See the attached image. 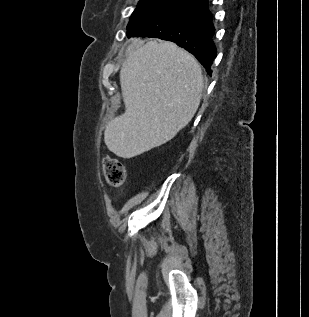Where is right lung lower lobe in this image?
Wrapping results in <instances>:
<instances>
[{
  "mask_svg": "<svg viewBox=\"0 0 309 317\" xmlns=\"http://www.w3.org/2000/svg\"><path fill=\"white\" fill-rule=\"evenodd\" d=\"M214 31L207 0H177L139 19L127 36L175 42L192 53L210 74L217 53Z\"/></svg>",
  "mask_w": 309,
  "mask_h": 317,
  "instance_id": "right-lung-lower-lobe-1",
  "label": "right lung lower lobe"
}]
</instances>
